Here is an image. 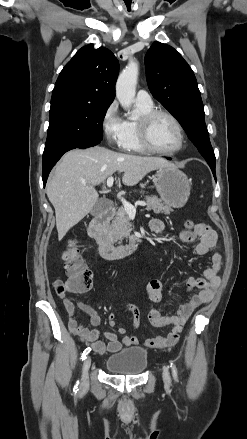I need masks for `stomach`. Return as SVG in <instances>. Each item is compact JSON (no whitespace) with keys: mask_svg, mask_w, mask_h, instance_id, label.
<instances>
[{"mask_svg":"<svg viewBox=\"0 0 247 439\" xmlns=\"http://www.w3.org/2000/svg\"><path fill=\"white\" fill-rule=\"evenodd\" d=\"M152 181L161 200L174 208L183 207L190 196V181L176 166L159 168Z\"/></svg>","mask_w":247,"mask_h":439,"instance_id":"stomach-1","label":"stomach"}]
</instances>
